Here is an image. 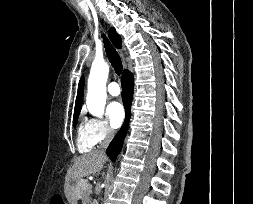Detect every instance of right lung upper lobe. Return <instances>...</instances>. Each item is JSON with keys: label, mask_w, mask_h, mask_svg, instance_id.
Listing matches in <instances>:
<instances>
[{"label": "right lung upper lobe", "mask_w": 253, "mask_h": 204, "mask_svg": "<svg viewBox=\"0 0 253 204\" xmlns=\"http://www.w3.org/2000/svg\"><path fill=\"white\" fill-rule=\"evenodd\" d=\"M109 38L115 47L121 48V43H122L121 36L116 32V30L113 27L109 29ZM83 91H84V77L80 79V82L78 85V93H77V98L75 102L74 116L79 115L80 113L81 104L83 100Z\"/></svg>", "instance_id": "obj_1"}]
</instances>
